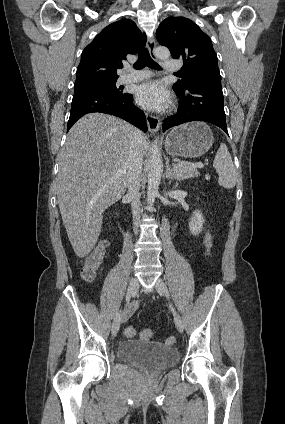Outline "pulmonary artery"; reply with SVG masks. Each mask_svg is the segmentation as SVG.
Wrapping results in <instances>:
<instances>
[{"instance_id":"1","label":"pulmonary artery","mask_w":285,"mask_h":424,"mask_svg":"<svg viewBox=\"0 0 285 424\" xmlns=\"http://www.w3.org/2000/svg\"><path fill=\"white\" fill-rule=\"evenodd\" d=\"M180 68L179 62L176 60H166L164 62V69L167 72L177 71ZM150 77V72L141 70L133 73L124 74L119 78L120 84L137 82Z\"/></svg>"}]
</instances>
